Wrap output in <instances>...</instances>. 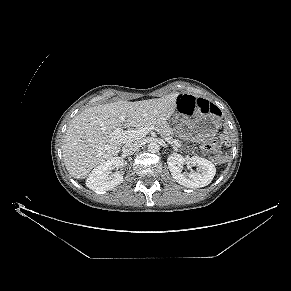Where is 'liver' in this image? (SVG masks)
Wrapping results in <instances>:
<instances>
[{"mask_svg":"<svg viewBox=\"0 0 291 291\" xmlns=\"http://www.w3.org/2000/svg\"><path fill=\"white\" fill-rule=\"evenodd\" d=\"M177 96L178 93H171L157 99L121 100L89 107L77 114L67 128L62 145L69 174L84 179L93 168L117 156L123 142L112 138L116 128L168 120L175 112Z\"/></svg>","mask_w":291,"mask_h":291,"instance_id":"1","label":"liver"}]
</instances>
